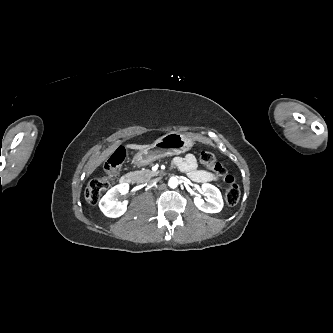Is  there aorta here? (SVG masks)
<instances>
[{
  "mask_svg": "<svg viewBox=\"0 0 333 333\" xmlns=\"http://www.w3.org/2000/svg\"><path fill=\"white\" fill-rule=\"evenodd\" d=\"M168 185L171 188H176L179 185V180L176 177H171L168 181Z\"/></svg>",
  "mask_w": 333,
  "mask_h": 333,
  "instance_id": "aorta-1",
  "label": "aorta"
}]
</instances>
